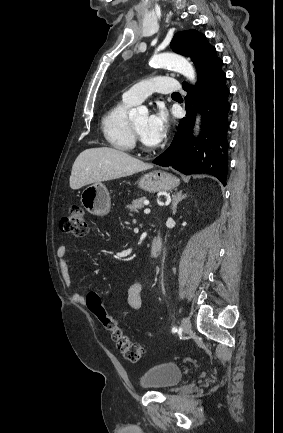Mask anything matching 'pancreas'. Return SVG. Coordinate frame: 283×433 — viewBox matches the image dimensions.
Returning <instances> with one entry per match:
<instances>
[{"mask_svg": "<svg viewBox=\"0 0 283 433\" xmlns=\"http://www.w3.org/2000/svg\"><path fill=\"white\" fill-rule=\"evenodd\" d=\"M144 200H148L146 196H141V198H136V200H132V204H127L128 208H130V217H133L132 212H139V208H144L146 204H144Z\"/></svg>", "mask_w": 283, "mask_h": 433, "instance_id": "1", "label": "pancreas"}]
</instances>
